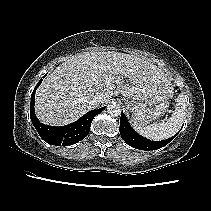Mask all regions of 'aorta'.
<instances>
[{"label":"aorta","mask_w":211,"mask_h":211,"mask_svg":"<svg viewBox=\"0 0 211 211\" xmlns=\"http://www.w3.org/2000/svg\"><path fill=\"white\" fill-rule=\"evenodd\" d=\"M107 112L112 116H119L121 114V106L117 103H111L107 106Z\"/></svg>","instance_id":"aorta-1"}]
</instances>
